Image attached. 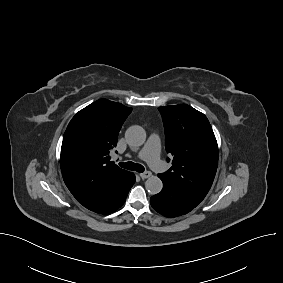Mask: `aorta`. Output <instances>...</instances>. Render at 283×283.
Instances as JSON below:
<instances>
[{
    "label": "aorta",
    "instance_id": "1",
    "mask_svg": "<svg viewBox=\"0 0 283 283\" xmlns=\"http://www.w3.org/2000/svg\"><path fill=\"white\" fill-rule=\"evenodd\" d=\"M125 138L129 145L141 146L146 140V132L141 126L134 125L126 130ZM145 188L151 194H158L163 188V183L159 177L151 176L146 180Z\"/></svg>",
    "mask_w": 283,
    "mask_h": 283
}]
</instances>
